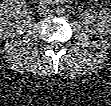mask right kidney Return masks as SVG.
<instances>
[{"label":"right kidney","mask_w":111,"mask_h":106,"mask_svg":"<svg viewBox=\"0 0 111 106\" xmlns=\"http://www.w3.org/2000/svg\"><path fill=\"white\" fill-rule=\"evenodd\" d=\"M26 8L25 1L19 0H5L0 6V34L1 37H17L19 34L25 32L26 27L31 22L30 16H24L22 19H18L12 22V16L22 9Z\"/></svg>","instance_id":"obj_1"}]
</instances>
